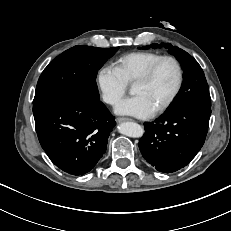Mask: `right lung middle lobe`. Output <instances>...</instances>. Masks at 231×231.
<instances>
[{
    "label": "right lung middle lobe",
    "instance_id": "obj_1",
    "mask_svg": "<svg viewBox=\"0 0 231 231\" xmlns=\"http://www.w3.org/2000/svg\"><path fill=\"white\" fill-rule=\"evenodd\" d=\"M117 50L80 45L66 50L42 72L33 104L61 97L99 100L97 72Z\"/></svg>",
    "mask_w": 231,
    "mask_h": 231
}]
</instances>
